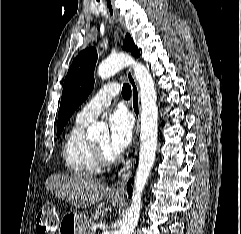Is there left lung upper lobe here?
Masks as SVG:
<instances>
[{
    "instance_id": "5c2ea615",
    "label": "left lung upper lobe",
    "mask_w": 241,
    "mask_h": 234,
    "mask_svg": "<svg viewBox=\"0 0 241 234\" xmlns=\"http://www.w3.org/2000/svg\"><path fill=\"white\" fill-rule=\"evenodd\" d=\"M123 49L130 51L134 56H140L131 36L126 35ZM97 61L95 48L83 50L74 59L64 81L61 103L58 113L57 137L60 136L67 121L77 107L88 97L93 90V73Z\"/></svg>"
}]
</instances>
